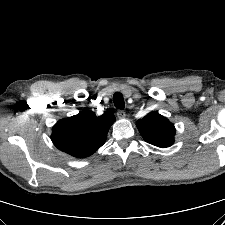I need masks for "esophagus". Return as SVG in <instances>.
I'll list each match as a JSON object with an SVG mask.
<instances>
[{
    "instance_id": "obj_1",
    "label": "esophagus",
    "mask_w": 225,
    "mask_h": 225,
    "mask_svg": "<svg viewBox=\"0 0 225 225\" xmlns=\"http://www.w3.org/2000/svg\"><path fill=\"white\" fill-rule=\"evenodd\" d=\"M117 116H118V118L123 119V118L126 117V114H125V112L123 110H118L117 111Z\"/></svg>"
}]
</instances>
